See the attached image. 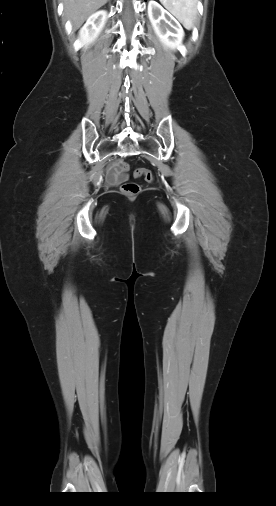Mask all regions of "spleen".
<instances>
[{"instance_id":"3e777b00","label":"spleen","mask_w":276,"mask_h":506,"mask_svg":"<svg viewBox=\"0 0 276 506\" xmlns=\"http://www.w3.org/2000/svg\"><path fill=\"white\" fill-rule=\"evenodd\" d=\"M182 25L191 30L197 17V0H159Z\"/></svg>"}]
</instances>
